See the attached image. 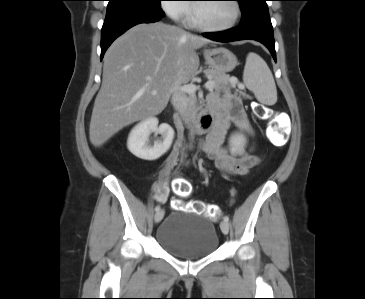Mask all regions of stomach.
<instances>
[{
	"label": "stomach",
	"instance_id": "1",
	"mask_svg": "<svg viewBox=\"0 0 365 299\" xmlns=\"http://www.w3.org/2000/svg\"><path fill=\"white\" fill-rule=\"evenodd\" d=\"M204 57L209 67L221 73L232 71L238 63L236 56L223 47L206 49Z\"/></svg>",
	"mask_w": 365,
	"mask_h": 299
}]
</instances>
